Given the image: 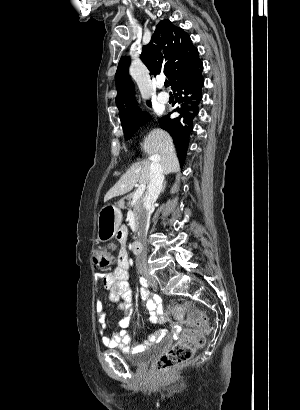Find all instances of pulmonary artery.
<instances>
[{
  "label": "pulmonary artery",
  "mask_w": 300,
  "mask_h": 410,
  "mask_svg": "<svg viewBox=\"0 0 300 410\" xmlns=\"http://www.w3.org/2000/svg\"><path fill=\"white\" fill-rule=\"evenodd\" d=\"M158 87L161 89V91H160V93H159V95H158V101H159L161 104H166V103L169 101V94H168L167 92H165V91L162 90V88H163V84H162V83H159V84H158Z\"/></svg>",
  "instance_id": "e3ab8cb5"
}]
</instances>
